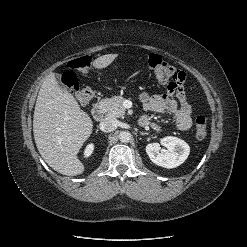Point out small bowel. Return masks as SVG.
Masks as SVG:
<instances>
[{"label": "small bowel", "instance_id": "c3829d8e", "mask_svg": "<svg viewBox=\"0 0 247 247\" xmlns=\"http://www.w3.org/2000/svg\"><path fill=\"white\" fill-rule=\"evenodd\" d=\"M139 98L147 111L172 114L178 130L186 131L191 127L192 108L187 101L183 82L175 86H168L167 92L163 94L151 95L147 92H141ZM141 118L147 122V125L152 126L157 131L160 130V127L153 123L149 117L143 116Z\"/></svg>", "mask_w": 247, "mask_h": 247}]
</instances>
